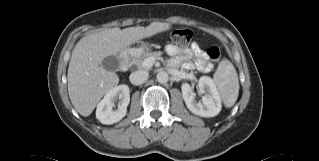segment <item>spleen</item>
I'll return each mask as SVG.
<instances>
[{
    "label": "spleen",
    "instance_id": "3e777b00",
    "mask_svg": "<svg viewBox=\"0 0 319 161\" xmlns=\"http://www.w3.org/2000/svg\"><path fill=\"white\" fill-rule=\"evenodd\" d=\"M213 80L225 107H232L239 93L238 76L233 64L229 60L223 59L214 73Z\"/></svg>",
    "mask_w": 319,
    "mask_h": 161
}]
</instances>
